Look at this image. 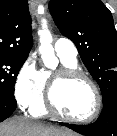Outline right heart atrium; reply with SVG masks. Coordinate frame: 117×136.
<instances>
[{"label": "right heart atrium", "instance_id": "obj_1", "mask_svg": "<svg viewBox=\"0 0 117 136\" xmlns=\"http://www.w3.org/2000/svg\"><path fill=\"white\" fill-rule=\"evenodd\" d=\"M14 96L22 108H30L40 98L43 91L42 71L30 57L20 67L14 81Z\"/></svg>", "mask_w": 117, "mask_h": 136}]
</instances>
